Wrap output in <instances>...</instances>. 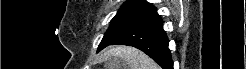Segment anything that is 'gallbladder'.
Masks as SVG:
<instances>
[{
    "label": "gallbladder",
    "mask_w": 246,
    "mask_h": 69,
    "mask_svg": "<svg viewBox=\"0 0 246 69\" xmlns=\"http://www.w3.org/2000/svg\"><path fill=\"white\" fill-rule=\"evenodd\" d=\"M120 59L119 58H111L110 60H108L106 63H105V69H117L118 68V65L116 62H119Z\"/></svg>",
    "instance_id": "bac80fb5"
}]
</instances>
